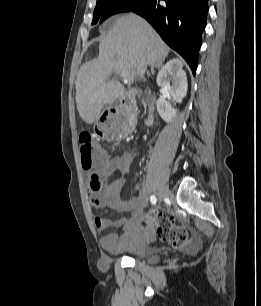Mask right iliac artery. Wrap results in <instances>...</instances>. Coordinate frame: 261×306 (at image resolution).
I'll list each match as a JSON object with an SVG mask.
<instances>
[{"label": "right iliac artery", "mask_w": 261, "mask_h": 306, "mask_svg": "<svg viewBox=\"0 0 261 306\" xmlns=\"http://www.w3.org/2000/svg\"><path fill=\"white\" fill-rule=\"evenodd\" d=\"M150 200H151V203H152L153 205H155L156 202H157V199H156V197H155L154 195H151V196H150Z\"/></svg>", "instance_id": "1"}]
</instances>
